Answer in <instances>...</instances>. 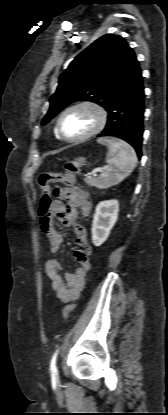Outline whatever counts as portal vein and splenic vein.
<instances>
[{
	"mask_svg": "<svg viewBox=\"0 0 168 415\" xmlns=\"http://www.w3.org/2000/svg\"><path fill=\"white\" fill-rule=\"evenodd\" d=\"M106 168H100L90 173L91 176H97L99 172H103Z\"/></svg>",
	"mask_w": 168,
	"mask_h": 415,
	"instance_id": "18ae733b",
	"label": "portal vein and splenic vein"
}]
</instances>
